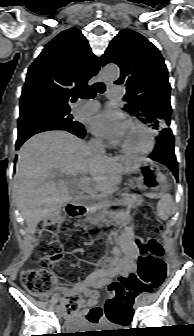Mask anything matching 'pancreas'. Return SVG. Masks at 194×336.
Returning a JSON list of instances; mask_svg holds the SVG:
<instances>
[{
    "label": "pancreas",
    "instance_id": "obj_1",
    "mask_svg": "<svg viewBox=\"0 0 194 336\" xmlns=\"http://www.w3.org/2000/svg\"><path fill=\"white\" fill-rule=\"evenodd\" d=\"M127 203L121 200L112 199L110 203H102L96 206L97 215L96 218L100 221L101 225L107 223L113 215L120 211H126L128 209Z\"/></svg>",
    "mask_w": 194,
    "mask_h": 336
}]
</instances>
